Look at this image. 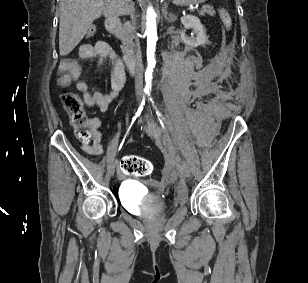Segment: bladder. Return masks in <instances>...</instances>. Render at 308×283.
<instances>
[{"instance_id": "1", "label": "bladder", "mask_w": 308, "mask_h": 283, "mask_svg": "<svg viewBox=\"0 0 308 283\" xmlns=\"http://www.w3.org/2000/svg\"><path fill=\"white\" fill-rule=\"evenodd\" d=\"M121 192L125 198H129L132 193V187L130 185L124 184L123 182L121 184Z\"/></svg>"}]
</instances>
